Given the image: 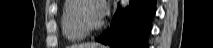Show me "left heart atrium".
<instances>
[{"mask_svg":"<svg viewBox=\"0 0 213 48\" xmlns=\"http://www.w3.org/2000/svg\"><path fill=\"white\" fill-rule=\"evenodd\" d=\"M96 12L98 18L101 20L107 13V3L104 0H98L96 5Z\"/></svg>","mask_w":213,"mask_h":48,"instance_id":"1","label":"left heart atrium"}]
</instances>
